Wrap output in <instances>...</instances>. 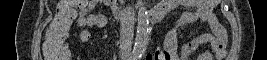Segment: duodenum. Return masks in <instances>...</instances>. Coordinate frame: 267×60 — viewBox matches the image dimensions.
Segmentation results:
<instances>
[{
    "instance_id": "410a0bca",
    "label": "duodenum",
    "mask_w": 267,
    "mask_h": 60,
    "mask_svg": "<svg viewBox=\"0 0 267 60\" xmlns=\"http://www.w3.org/2000/svg\"><path fill=\"white\" fill-rule=\"evenodd\" d=\"M103 2L108 3V5L111 7L112 12L114 14H116L117 12H119L118 7L115 5L116 1L115 0H104ZM167 9L165 7L162 6H156L151 8L148 11V16L153 20V21H159L163 15L166 13Z\"/></svg>"
}]
</instances>
